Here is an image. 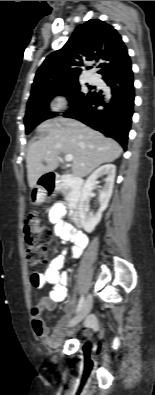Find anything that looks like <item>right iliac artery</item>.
I'll use <instances>...</instances> for the list:
<instances>
[{
	"label": "right iliac artery",
	"mask_w": 155,
	"mask_h": 395,
	"mask_svg": "<svg viewBox=\"0 0 155 395\" xmlns=\"http://www.w3.org/2000/svg\"><path fill=\"white\" fill-rule=\"evenodd\" d=\"M83 304H84V297L82 296L78 302L76 312H79L81 310V308L83 307Z\"/></svg>",
	"instance_id": "82829eb1"
}]
</instances>
